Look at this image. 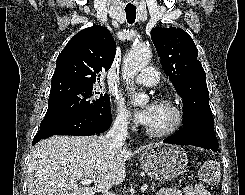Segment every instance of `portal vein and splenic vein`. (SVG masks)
Returning <instances> with one entry per match:
<instances>
[{"label": "portal vein and splenic vein", "instance_id": "18ae733b", "mask_svg": "<svg viewBox=\"0 0 245 195\" xmlns=\"http://www.w3.org/2000/svg\"><path fill=\"white\" fill-rule=\"evenodd\" d=\"M81 183H82L83 185H90V184L92 183V181L89 180V179H83V180L81 181ZM146 189H147V185L144 184V185L141 187V191L144 192Z\"/></svg>", "mask_w": 245, "mask_h": 195}]
</instances>
